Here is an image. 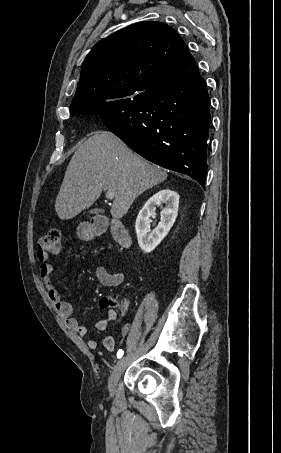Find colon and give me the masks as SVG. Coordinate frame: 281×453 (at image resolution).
<instances>
[{"mask_svg": "<svg viewBox=\"0 0 281 453\" xmlns=\"http://www.w3.org/2000/svg\"><path fill=\"white\" fill-rule=\"evenodd\" d=\"M62 251L61 229L59 227L49 226L46 235L40 241L38 261L47 262L50 258H57L62 254Z\"/></svg>", "mask_w": 281, "mask_h": 453, "instance_id": "1", "label": "colon"}]
</instances>
